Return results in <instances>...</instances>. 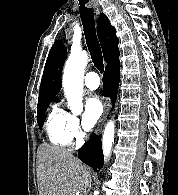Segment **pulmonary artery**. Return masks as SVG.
I'll use <instances>...</instances> for the list:
<instances>
[{
  "label": "pulmonary artery",
  "mask_w": 178,
  "mask_h": 195,
  "mask_svg": "<svg viewBox=\"0 0 178 195\" xmlns=\"http://www.w3.org/2000/svg\"><path fill=\"white\" fill-rule=\"evenodd\" d=\"M85 86L90 90H96L100 86V78L97 73L89 72L84 78Z\"/></svg>",
  "instance_id": "1"
}]
</instances>
